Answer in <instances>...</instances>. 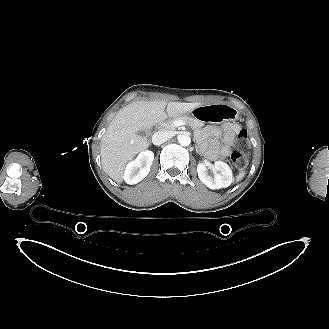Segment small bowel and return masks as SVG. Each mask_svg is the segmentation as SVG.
Returning <instances> with one entry per match:
<instances>
[{
	"instance_id": "1",
	"label": "small bowel",
	"mask_w": 329,
	"mask_h": 329,
	"mask_svg": "<svg viewBox=\"0 0 329 329\" xmlns=\"http://www.w3.org/2000/svg\"><path fill=\"white\" fill-rule=\"evenodd\" d=\"M240 131L241 127L238 124H231L225 128L207 127L206 134L209 137L210 156L214 159L229 156Z\"/></svg>"
}]
</instances>
